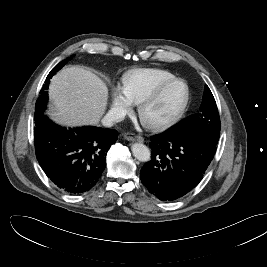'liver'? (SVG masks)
Returning <instances> with one entry per match:
<instances>
[{
    "label": "liver",
    "mask_w": 267,
    "mask_h": 267,
    "mask_svg": "<svg viewBox=\"0 0 267 267\" xmlns=\"http://www.w3.org/2000/svg\"><path fill=\"white\" fill-rule=\"evenodd\" d=\"M49 95L52 100L49 114L56 122L97 125L106 110L108 88L91 71L71 66L52 78Z\"/></svg>",
    "instance_id": "liver-1"
}]
</instances>
